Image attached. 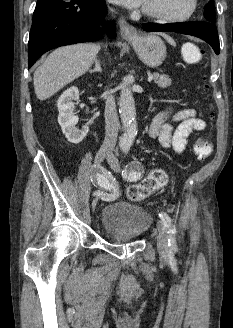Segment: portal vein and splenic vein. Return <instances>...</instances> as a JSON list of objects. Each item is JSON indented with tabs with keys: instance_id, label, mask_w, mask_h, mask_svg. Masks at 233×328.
I'll list each match as a JSON object with an SVG mask.
<instances>
[{
	"instance_id": "1",
	"label": "portal vein and splenic vein",
	"mask_w": 233,
	"mask_h": 328,
	"mask_svg": "<svg viewBox=\"0 0 233 328\" xmlns=\"http://www.w3.org/2000/svg\"><path fill=\"white\" fill-rule=\"evenodd\" d=\"M153 80V75L148 76V82H151Z\"/></svg>"
}]
</instances>
